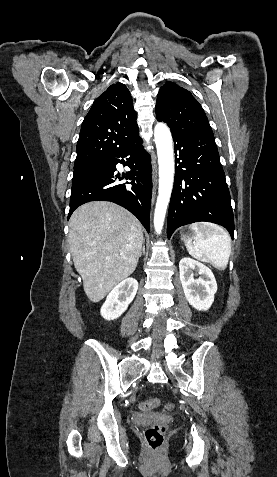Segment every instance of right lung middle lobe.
<instances>
[{
    "mask_svg": "<svg viewBox=\"0 0 277 477\" xmlns=\"http://www.w3.org/2000/svg\"><path fill=\"white\" fill-rule=\"evenodd\" d=\"M90 167H84V168H75L74 169V175L73 177H76L77 175L85 172L86 170H88Z\"/></svg>",
    "mask_w": 277,
    "mask_h": 477,
    "instance_id": "obj_1",
    "label": "right lung middle lobe"
}]
</instances>
